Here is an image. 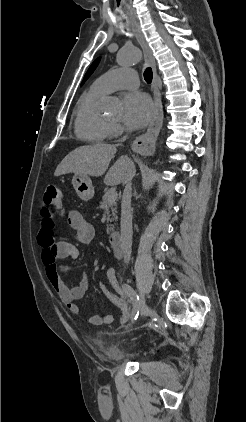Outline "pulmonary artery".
<instances>
[{"label":"pulmonary artery","mask_w":246,"mask_h":422,"mask_svg":"<svg viewBox=\"0 0 246 422\" xmlns=\"http://www.w3.org/2000/svg\"><path fill=\"white\" fill-rule=\"evenodd\" d=\"M139 78L136 71L128 68L112 70L98 77L93 87L103 93H109L118 89L136 88Z\"/></svg>","instance_id":"obj_1"}]
</instances>
